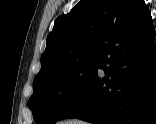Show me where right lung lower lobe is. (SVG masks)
I'll list each match as a JSON object with an SVG mask.
<instances>
[{
    "mask_svg": "<svg viewBox=\"0 0 156 124\" xmlns=\"http://www.w3.org/2000/svg\"><path fill=\"white\" fill-rule=\"evenodd\" d=\"M153 26L127 33L109 47L98 74L60 119L96 124H156V45ZM107 64V66H106ZM109 78V79H108Z\"/></svg>",
    "mask_w": 156,
    "mask_h": 124,
    "instance_id": "obj_1",
    "label": "right lung lower lobe"
}]
</instances>
